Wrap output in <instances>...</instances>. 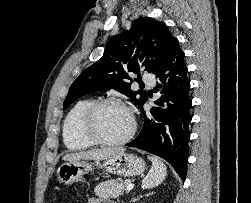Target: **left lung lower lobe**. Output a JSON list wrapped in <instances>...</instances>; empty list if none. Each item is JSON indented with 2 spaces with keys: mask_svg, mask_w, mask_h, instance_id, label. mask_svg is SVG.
Returning a JSON list of instances; mask_svg holds the SVG:
<instances>
[{
  "mask_svg": "<svg viewBox=\"0 0 251 203\" xmlns=\"http://www.w3.org/2000/svg\"><path fill=\"white\" fill-rule=\"evenodd\" d=\"M184 52L175 39L163 63L153 72L162 88V96L155 101L150 113H143L144 125L140 134L130 143L167 160L185 180L188 163L189 124L192 100L190 82L184 63ZM143 112V106L140 108Z\"/></svg>",
  "mask_w": 251,
  "mask_h": 203,
  "instance_id": "obj_1",
  "label": "left lung lower lobe"
}]
</instances>
